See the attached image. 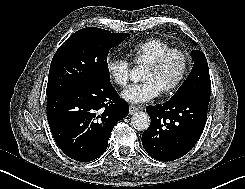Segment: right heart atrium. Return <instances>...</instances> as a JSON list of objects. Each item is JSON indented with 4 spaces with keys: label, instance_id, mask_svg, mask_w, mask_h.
Segmentation results:
<instances>
[{
    "label": "right heart atrium",
    "instance_id": "obj_1",
    "mask_svg": "<svg viewBox=\"0 0 245 189\" xmlns=\"http://www.w3.org/2000/svg\"><path fill=\"white\" fill-rule=\"evenodd\" d=\"M111 80L119 87H125L129 81L130 63L124 58L109 57L105 63Z\"/></svg>",
    "mask_w": 245,
    "mask_h": 189
}]
</instances>
